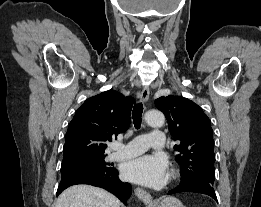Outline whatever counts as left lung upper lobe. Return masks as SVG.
Returning <instances> with one entry per match:
<instances>
[{
  "label": "left lung upper lobe",
  "instance_id": "1",
  "mask_svg": "<svg viewBox=\"0 0 261 207\" xmlns=\"http://www.w3.org/2000/svg\"><path fill=\"white\" fill-rule=\"evenodd\" d=\"M156 107L168 121L174 146L180 154L181 180L203 181L214 184L215 154L213 130L207 115L193 101L180 96H162L155 100Z\"/></svg>",
  "mask_w": 261,
  "mask_h": 207
}]
</instances>
